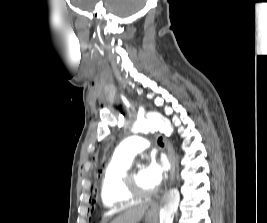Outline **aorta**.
Returning <instances> with one entry per match:
<instances>
[{
    "label": "aorta",
    "mask_w": 267,
    "mask_h": 223,
    "mask_svg": "<svg viewBox=\"0 0 267 223\" xmlns=\"http://www.w3.org/2000/svg\"><path fill=\"white\" fill-rule=\"evenodd\" d=\"M132 131L134 133L142 131H161L170 136L173 129L169 123L159 116H153L148 119L137 121ZM180 203V194L177 190L167 192L160 201V223H173L174 214Z\"/></svg>",
    "instance_id": "762f6f07"
}]
</instances>
